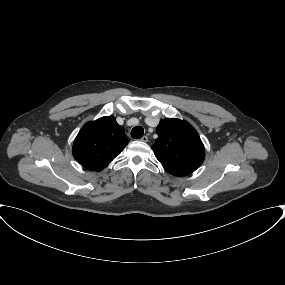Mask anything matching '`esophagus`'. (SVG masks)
<instances>
[{
    "mask_svg": "<svg viewBox=\"0 0 285 285\" xmlns=\"http://www.w3.org/2000/svg\"><path fill=\"white\" fill-rule=\"evenodd\" d=\"M140 141H142V142H147V141H148V137H147V136H143V137L140 139Z\"/></svg>",
    "mask_w": 285,
    "mask_h": 285,
    "instance_id": "esophagus-1",
    "label": "esophagus"
}]
</instances>
